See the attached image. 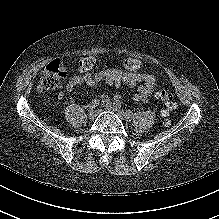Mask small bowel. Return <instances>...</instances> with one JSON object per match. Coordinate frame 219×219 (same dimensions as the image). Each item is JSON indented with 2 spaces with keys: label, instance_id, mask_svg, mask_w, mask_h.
Returning a JSON list of instances; mask_svg holds the SVG:
<instances>
[{
  "label": "small bowel",
  "instance_id": "small-bowel-1",
  "mask_svg": "<svg viewBox=\"0 0 219 219\" xmlns=\"http://www.w3.org/2000/svg\"><path fill=\"white\" fill-rule=\"evenodd\" d=\"M84 59L79 62L78 73L73 75L65 85V91L71 92L77 86L93 87L98 82L104 81L110 86L119 87L122 83L130 87L138 84L137 92L133 95V100L146 103L156 90V79L153 75L140 72L141 62L135 58H127L123 61L124 69H109L92 72L91 68H85L82 64ZM64 93L60 92L57 99L61 100ZM103 100H106L103 97Z\"/></svg>",
  "mask_w": 219,
  "mask_h": 219
}]
</instances>
